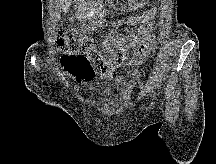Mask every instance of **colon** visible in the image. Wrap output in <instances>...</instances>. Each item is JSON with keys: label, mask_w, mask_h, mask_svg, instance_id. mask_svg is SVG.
<instances>
[{"label": "colon", "mask_w": 216, "mask_h": 164, "mask_svg": "<svg viewBox=\"0 0 216 164\" xmlns=\"http://www.w3.org/2000/svg\"><path fill=\"white\" fill-rule=\"evenodd\" d=\"M57 44L65 52L61 59L64 69L77 80H91L94 71L89 60L82 55L92 48L91 42L76 34H67L61 30L58 33ZM95 64L99 69L104 70L100 58H96Z\"/></svg>", "instance_id": "1"}]
</instances>
